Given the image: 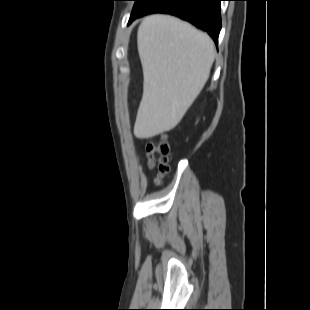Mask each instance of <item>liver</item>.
I'll use <instances>...</instances> for the list:
<instances>
[{"instance_id":"6515ba94","label":"liver","mask_w":310,"mask_h":310,"mask_svg":"<svg viewBox=\"0 0 310 310\" xmlns=\"http://www.w3.org/2000/svg\"><path fill=\"white\" fill-rule=\"evenodd\" d=\"M143 96L134 125L137 138L175 128L207 82L215 57L212 39L169 15H150L138 28Z\"/></svg>"}]
</instances>
